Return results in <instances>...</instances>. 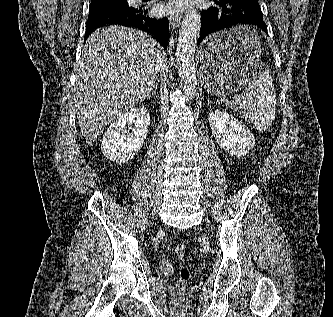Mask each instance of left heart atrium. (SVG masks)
Here are the masks:
<instances>
[{
    "label": "left heart atrium",
    "instance_id": "39dd6f15",
    "mask_svg": "<svg viewBox=\"0 0 333 317\" xmlns=\"http://www.w3.org/2000/svg\"><path fill=\"white\" fill-rule=\"evenodd\" d=\"M180 1V0H179ZM181 7V4H180V2L178 3V2H176V4L173 6V8H180ZM165 9L166 10H170L171 9V7L170 6H166L165 7Z\"/></svg>",
    "mask_w": 333,
    "mask_h": 317
}]
</instances>
